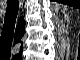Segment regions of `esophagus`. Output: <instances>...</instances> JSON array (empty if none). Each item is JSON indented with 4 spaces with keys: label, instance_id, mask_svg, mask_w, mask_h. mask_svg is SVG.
<instances>
[{
    "label": "esophagus",
    "instance_id": "1",
    "mask_svg": "<svg viewBox=\"0 0 80 60\" xmlns=\"http://www.w3.org/2000/svg\"><path fill=\"white\" fill-rule=\"evenodd\" d=\"M23 5V3L22 2H20V6H22Z\"/></svg>",
    "mask_w": 80,
    "mask_h": 60
}]
</instances>
